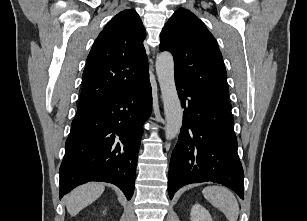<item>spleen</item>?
Wrapping results in <instances>:
<instances>
[{
	"mask_svg": "<svg viewBox=\"0 0 307 221\" xmlns=\"http://www.w3.org/2000/svg\"><path fill=\"white\" fill-rule=\"evenodd\" d=\"M204 197L221 210L229 221H237L239 205L233 193L223 186H207L202 191Z\"/></svg>",
	"mask_w": 307,
	"mask_h": 221,
	"instance_id": "3e777b00",
	"label": "spleen"
}]
</instances>
